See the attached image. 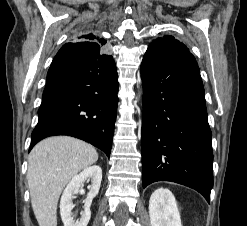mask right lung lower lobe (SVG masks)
<instances>
[{
	"instance_id": "obj_1",
	"label": "right lung lower lobe",
	"mask_w": 247,
	"mask_h": 226,
	"mask_svg": "<svg viewBox=\"0 0 247 226\" xmlns=\"http://www.w3.org/2000/svg\"><path fill=\"white\" fill-rule=\"evenodd\" d=\"M118 87L116 65L105 47L84 41L64 44L47 74L29 151L46 137L69 135L109 157Z\"/></svg>"
}]
</instances>
